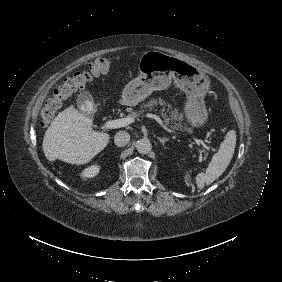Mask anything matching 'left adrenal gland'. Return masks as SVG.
I'll list each match as a JSON object with an SVG mask.
<instances>
[{
	"label": "left adrenal gland",
	"mask_w": 282,
	"mask_h": 282,
	"mask_svg": "<svg viewBox=\"0 0 282 282\" xmlns=\"http://www.w3.org/2000/svg\"><path fill=\"white\" fill-rule=\"evenodd\" d=\"M158 139L162 143V145H164L165 142L169 140L168 138H165V137H163V138L158 137Z\"/></svg>",
	"instance_id": "1"
}]
</instances>
